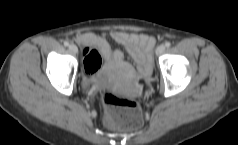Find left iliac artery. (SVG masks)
Instances as JSON below:
<instances>
[{"instance_id":"left-iliac-artery-1","label":"left iliac artery","mask_w":238,"mask_h":145,"mask_svg":"<svg viewBox=\"0 0 238 145\" xmlns=\"http://www.w3.org/2000/svg\"><path fill=\"white\" fill-rule=\"evenodd\" d=\"M165 46L168 48V47H170L171 46V42L170 41H167L166 43H165Z\"/></svg>"}]
</instances>
